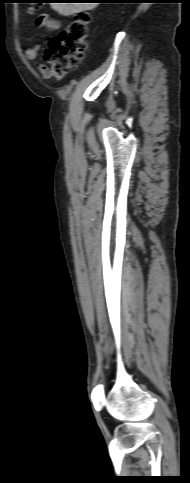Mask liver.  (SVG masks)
I'll list each match as a JSON object with an SVG mask.
<instances>
[{"label":"liver","mask_w":190,"mask_h":483,"mask_svg":"<svg viewBox=\"0 0 190 483\" xmlns=\"http://www.w3.org/2000/svg\"><path fill=\"white\" fill-rule=\"evenodd\" d=\"M98 3H51L52 8L63 16L74 15L86 10H92Z\"/></svg>","instance_id":"6515ba94"}]
</instances>
